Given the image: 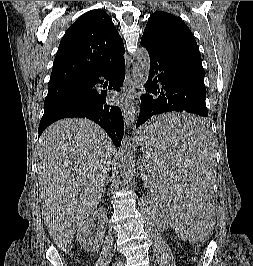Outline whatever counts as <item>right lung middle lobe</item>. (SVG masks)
<instances>
[{
	"label": "right lung middle lobe",
	"mask_w": 253,
	"mask_h": 266,
	"mask_svg": "<svg viewBox=\"0 0 253 266\" xmlns=\"http://www.w3.org/2000/svg\"><path fill=\"white\" fill-rule=\"evenodd\" d=\"M85 87L84 81L61 83L49 86L44 101V114L49 116L68 106Z\"/></svg>",
	"instance_id": "obj_1"
}]
</instances>
